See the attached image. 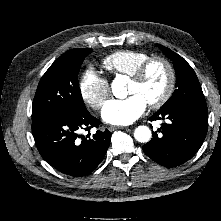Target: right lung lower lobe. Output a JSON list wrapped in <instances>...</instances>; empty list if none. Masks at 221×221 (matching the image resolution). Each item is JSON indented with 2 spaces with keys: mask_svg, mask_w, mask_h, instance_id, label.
<instances>
[{
  "mask_svg": "<svg viewBox=\"0 0 221 221\" xmlns=\"http://www.w3.org/2000/svg\"><path fill=\"white\" fill-rule=\"evenodd\" d=\"M99 124L100 121L87 110L63 112L32 120V133L45 161L64 174L81 177L100 164L112 133L97 131L92 137L89 133L85 138L78 134V130H90Z\"/></svg>",
  "mask_w": 221,
  "mask_h": 221,
  "instance_id": "98d812e1",
  "label": "right lung lower lobe"
}]
</instances>
